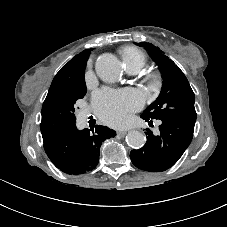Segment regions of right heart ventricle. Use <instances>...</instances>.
<instances>
[{"mask_svg":"<svg viewBox=\"0 0 227 227\" xmlns=\"http://www.w3.org/2000/svg\"><path fill=\"white\" fill-rule=\"evenodd\" d=\"M125 68L139 71L147 62L146 54L134 47L127 46L120 50Z\"/></svg>","mask_w":227,"mask_h":227,"instance_id":"1","label":"right heart ventricle"}]
</instances>
